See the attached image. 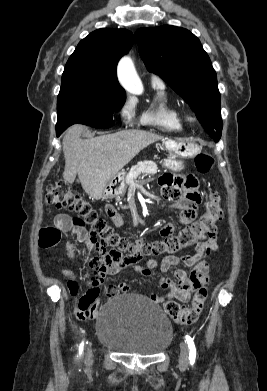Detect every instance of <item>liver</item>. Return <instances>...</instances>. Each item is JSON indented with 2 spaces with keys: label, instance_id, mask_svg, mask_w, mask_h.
<instances>
[{
  "label": "liver",
  "instance_id": "obj_1",
  "mask_svg": "<svg viewBox=\"0 0 267 391\" xmlns=\"http://www.w3.org/2000/svg\"><path fill=\"white\" fill-rule=\"evenodd\" d=\"M82 125H73L62 140L65 158L63 178L73 183L78 174L83 190L100 199L105 185L140 151L162 139L144 130H123L91 139H81Z\"/></svg>",
  "mask_w": 267,
  "mask_h": 391
}]
</instances>
